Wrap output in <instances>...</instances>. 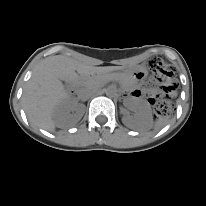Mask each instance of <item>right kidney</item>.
<instances>
[{"label":"right kidney","mask_w":206,"mask_h":206,"mask_svg":"<svg viewBox=\"0 0 206 206\" xmlns=\"http://www.w3.org/2000/svg\"><path fill=\"white\" fill-rule=\"evenodd\" d=\"M70 112L76 113L74 115H71ZM78 115L79 114L77 106L73 104L70 100L62 101L54 112L55 119L59 121H66L67 119L73 116L77 117Z\"/></svg>","instance_id":"obj_1"}]
</instances>
